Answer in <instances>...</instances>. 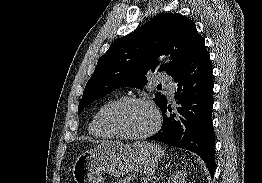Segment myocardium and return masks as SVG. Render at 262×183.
Here are the masks:
<instances>
[{
  "mask_svg": "<svg viewBox=\"0 0 262 183\" xmlns=\"http://www.w3.org/2000/svg\"><path fill=\"white\" fill-rule=\"evenodd\" d=\"M129 104H144L148 106L154 113L155 122L151 129L147 132L139 135H130L125 134L117 130L112 124V116L119 109L129 105ZM103 125L108 133H110L113 137L124 139V140H144L152 135H154L160 128L161 125V115L157 107L149 100L140 97H124L121 98L114 103H112L103 114Z\"/></svg>",
  "mask_w": 262,
  "mask_h": 183,
  "instance_id": "1",
  "label": "myocardium"
}]
</instances>
